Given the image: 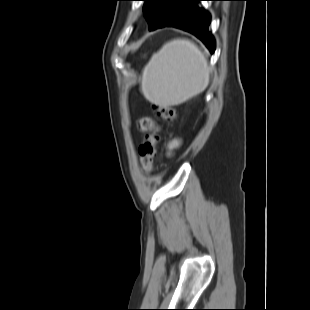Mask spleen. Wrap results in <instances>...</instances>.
I'll use <instances>...</instances> for the list:
<instances>
[{
  "instance_id": "1",
  "label": "spleen",
  "mask_w": 310,
  "mask_h": 310,
  "mask_svg": "<svg viewBox=\"0 0 310 310\" xmlns=\"http://www.w3.org/2000/svg\"><path fill=\"white\" fill-rule=\"evenodd\" d=\"M210 71L204 53L188 39L169 41L145 66L141 92L152 102L179 105L203 91Z\"/></svg>"
}]
</instances>
